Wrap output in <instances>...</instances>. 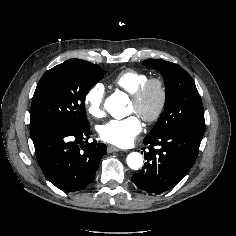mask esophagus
Segmentation results:
<instances>
[{
	"label": "esophagus",
	"instance_id": "esophagus-1",
	"mask_svg": "<svg viewBox=\"0 0 236 236\" xmlns=\"http://www.w3.org/2000/svg\"><path fill=\"white\" fill-rule=\"evenodd\" d=\"M107 151H108V153H112V152H118V151H122V150L119 149V148L116 147V146L109 145V146L107 147Z\"/></svg>",
	"mask_w": 236,
	"mask_h": 236
}]
</instances>
